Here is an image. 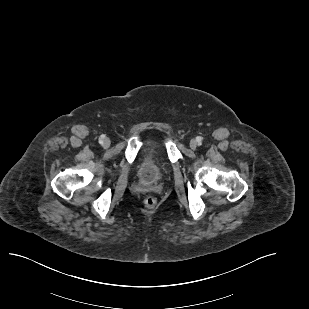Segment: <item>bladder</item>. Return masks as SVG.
<instances>
[{
  "label": "bladder",
  "instance_id": "31cf9c89",
  "mask_svg": "<svg viewBox=\"0 0 309 309\" xmlns=\"http://www.w3.org/2000/svg\"><path fill=\"white\" fill-rule=\"evenodd\" d=\"M157 144L148 149L138 167V176L144 182H155L160 180L166 173V165L160 161L155 152Z\"/></svg>",
  "mask_w": 309,
  "mask_h": 309
}]
</instances>
